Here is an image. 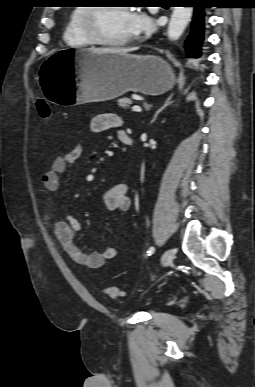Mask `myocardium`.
<instances>
[{
	"label": "myocardium",
	"mask_w": 255,
	"mask_h": 387,
	"mask_svg": "<svg viewBox=\"0 0 255 387\" xmlns=\"http://www.w3.org/2000/svg\"><path fill=\"white\" fill-rule=\"evenodd\" d=\"M118 8H122L124 10L129 11V8L124 6H116ZM107 7H99V6H89L84 9L83 14L81 16V28L84 34L90 39L93 44L109 46V47H120L127 45L132 41V36L121 40H110L104 38L97 29L96 26V16L97 14Z\"/></svg>",
	"instance_id": "obj_1"
}]
</instances>
